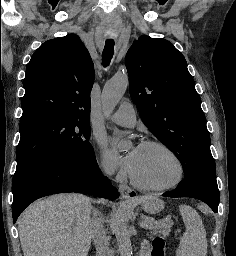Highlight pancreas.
<instances>
[{
  "label": "pancreas",
  "mask_w": 236,
  "mask_h": 256,
  "mask_svg": "<svg viewBox=\"0 0 236 256\" xmlns=\"http://www.w3.org/2000/svg\"><path fill=\"white\" fill-rule=\"evenodd\" d=\"M145 224H147V226H143V228H145V230H150V234H153V236H155V234H159L160 228L153 224L151 218H146Z\"/></svg>",
  "instance_id": "pancreas-1"
}]
</instances>
